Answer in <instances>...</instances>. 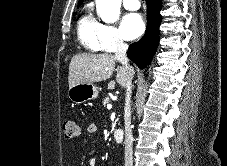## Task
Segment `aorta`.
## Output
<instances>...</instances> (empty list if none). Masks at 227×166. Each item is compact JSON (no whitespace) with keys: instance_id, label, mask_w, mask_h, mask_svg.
Masks as SVG:
<instances>
[{"instance_id":"762f6f07","label":"aorta","mask_w":227,"mask_h":166,"mask_svg":"<svg viewBox=\"0 0 227 166\" xmlns=\"http://www.w3.org/2000/svg\"><path fill=\"white\" fill-rule=\"evenodd\" d=\"M121 0H96L98 15L105 23H114L120 15Z\"/></svg>"}]
</instances>
